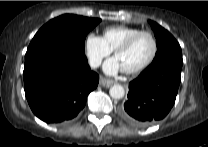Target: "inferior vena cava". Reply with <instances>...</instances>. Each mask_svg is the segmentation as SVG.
Masks as SVG:
<instances>
[{"label":"inferior vena cava","mask_w":208,"mask_h":147,"mask_svg":"<svg viewBox=\"0 0 208 147\" xmlns=\"http://www.w3.org/2000/svg\"><path fill=\"white\" fill-rule=\"evenodd\" d=\"M101 64V59H98V58H93V59H90L89 60V65L92 67V68H97L99 67Z\"/></svg>","instance_id":"inferior-vena-cava-1"}]
</instances>
